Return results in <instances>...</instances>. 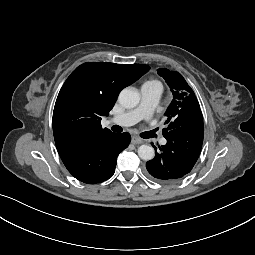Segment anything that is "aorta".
<instances>
[{"mask_svg": "<svg viewBox=\"0 0 255 255\" xmlns=\"http://www.w3.org/2000/svg\"><path fill=\"white\" fill-rule=\"evenodd\" d=\"M140 101V95L137 89L132 87L124 88L119 94V103L127 109L134 108ZM138 155L143 160H151L155 156L154 148L150 145H141L138 148Z\"/></svg>", "mask_w": 255, "mask_h": 255, "instance_id": "aorta-1", "label": "aorta"}]
</instances>
